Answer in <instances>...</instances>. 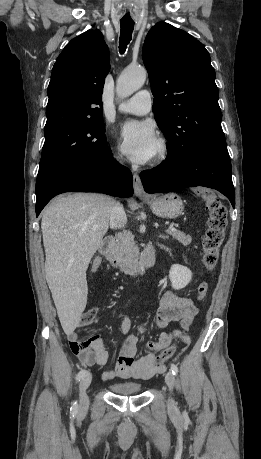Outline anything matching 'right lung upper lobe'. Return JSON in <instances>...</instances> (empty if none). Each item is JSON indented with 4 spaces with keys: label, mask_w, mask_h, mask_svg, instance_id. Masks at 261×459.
Here are the masks:
<instances>
[{
    "label": "right lung upper lobe",
    "mask_w": 261,
    "mask_h": 459,
    "mask_svg": "<svg viewBox=\"0 0 261 459\" xmlns=\"http://www.w3.org/2000/svg\"><path fill=\"white\" fill-rule=\"evenodd\" d=\"M109 50L96 30L72 39L56 60L48 86L45 130L102 120V92Z\"/></svg>",
    "instance_id": "1"
}]
</instances>
